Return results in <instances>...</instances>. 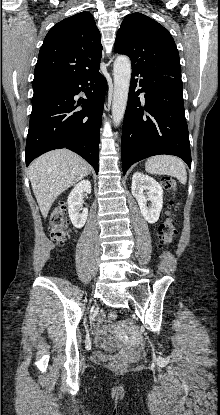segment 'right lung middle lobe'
I'll return each instance as SVG.
<instances>
[{
	"mask_svg": "<svg viewBox=\"0 0 220 415\" xmlns=\"http://www.w3.org/2000/svg\"><path fill=\"white\" fill-rule=\"evenodd\" d=\"M64 86L65 83L60 82H46L33 84L34 94L32 97V103L59 94L61 90L64 88Z\"/></svg>",
	"mask_w": 220,
	"mask_h": 415,
	"instance_id": "obj_1",
	"label": "right lung middle lobe"
}]
</instances>
